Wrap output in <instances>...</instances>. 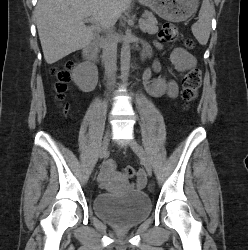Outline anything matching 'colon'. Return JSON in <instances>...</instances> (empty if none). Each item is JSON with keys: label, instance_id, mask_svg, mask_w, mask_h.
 I'll list each match as a JSON object with an SVG mask.
<instances>
[{"label": "colon", "instance_id": "obj_1", "mask_svg": "<svg viewBox=\"0 0 248 250\" xmlns=\"http://www.w3.org/2000/svg\"><path fill=\"white\" fill-rule=\"evenodd\" d=\"M160 40L164 43H172L182 40L188 48L194 47V42L188 38L183 37L177 27L172 23H164L160 33ZM74 65V61H66L62 66L52 69V75L56 78V91L58 99H62L63 94L67 88V83L70 79V70ZM201 71L197 67L190 68L184 75L182 80L181 96L185 104H189L197 97L199 87L201 85ZM111 165V164H110ZM122 174L126 179H132L135 175V169L131 165H126L122 168Z\"/></svg>", "mask_w": 248, "mask_h": 250}]
</instances>
